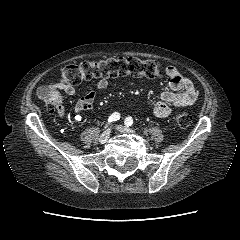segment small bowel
I'll list each match as a JSON object with an SVG mask.
<instances>
[{
  "label": "small bowel",
  "instance_id": "1",
  "mask_svg": "<svg viewBox=\"0 0 240 240\" xmlns=\"http://www.w3.org/2000/svg\"><path fill=\"white\" fill-rule=\"evenodd\" d=\"M165 74L169 79V90L164 91L160 100L153 106V115L157 118H166L172 113L174 108L192 105L199 97V92L193 83L176 67L167 66ZM109 85L110 81L107 78H102L96 83L94 88L84 92L77 90L74 86L63 83L56 84V87L69 96L77 97L74 112L81 114L92 111L97 91L105 90ZM65 112L66 107L62 105L58 113L59 115H64Z\"/></svg>",
  "mask_w": 240,
  "mask_h": 240
}]
</instances>
